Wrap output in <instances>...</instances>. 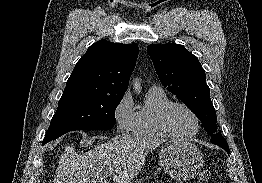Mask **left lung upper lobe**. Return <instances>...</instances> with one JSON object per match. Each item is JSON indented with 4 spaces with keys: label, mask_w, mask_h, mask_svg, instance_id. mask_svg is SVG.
Wrapping results in <instances>:
<instances>
[{
    "label": "left lung upper lobe",
    "mask_w": 262,
    "mask_h": 183,
    "mask_svg": "<svg viewBox=\"0 0 262 183\" xmlns=\"http://www.w3.org/2000/svg\"><path fill=\"white\" fill-rule=\"evenodd\" d=\"M161 83L200 119L213 144H227L217 133L216 112L206 84L205 70L183 45L151 44L147 47Z\"/></svg>",
    "instance_id": "obj_1"
}]
</instances>
